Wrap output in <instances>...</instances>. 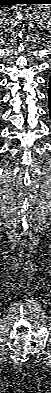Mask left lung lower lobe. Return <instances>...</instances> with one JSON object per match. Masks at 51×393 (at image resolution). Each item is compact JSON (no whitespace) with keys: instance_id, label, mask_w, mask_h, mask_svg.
<instances>
[{"instance_id":"obj_1","label":"left lung lower lobe","mask_w":51,"mask_h":393,"mask_svg":"<svg viewBox=\"0 0 51 393\" xmlns=\"http://www.w3.org/2000/svg\"><path fill=\"white\" fill-rule=\"evenodd\" d=\"M48 96H49V104H50V110H51V78L49 81V89H48ZM50 117H51V111H50Z\"/></svg>"}]
</instances>
